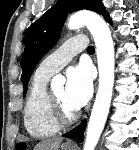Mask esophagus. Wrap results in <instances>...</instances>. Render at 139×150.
Here are the masks:
<instances>
[{
    "label": "esophagus",
    "instance_id": "1",
    "mask_svg": "<svg viewBox=\"0 0 139 150\" xmlns=\"http://www.w3.org/2000/svg\"><path fill=\"white\" fill-rule=\"evenodd\" d=\"M66 144L67 145H73V142L72 141H67Z\"/></svg>",
    "mask_w": 139,
    "mask_h": 150
}]
</instances>
